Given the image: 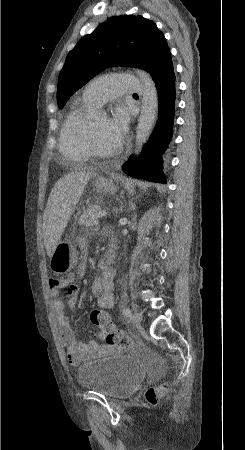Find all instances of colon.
Instances as JSON below:
<instances>
[{"label": "colon", "mask_w": 245, "mask_h": 450, "mask_svg": "<svg viewBox=\"0 0 245 450\" xmlns=\"http://www.w3.org/2000/svg\"><path fill=\"white\" fill-rule=\"evenodd\" d=\"M58 282L65 280L57 278ZM91 322L99 327L104 333V341L108 344L121 348H130L132 346L131 338L122 330L114 326L107 313L102 310H95L91 315ZM168 390V384L163 383L157 387H149L145 392V398L149 403L155 404L163 393Z\"/></svg>", "instance_id": "colon-1"}]
</instances>
